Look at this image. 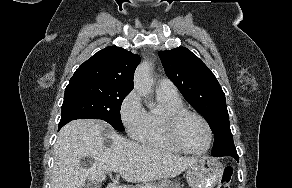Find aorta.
Returning a JSON list of instances; mask_svg holds the SVG:
<instances>
[{"instance_id": "aorta-1", "label": "aorta", "mask_w": 292, "mask_h": 188, "mask_svg": "<svg viewBox=\"0 0 292 188\" xmlns=\"http://www.w3.org/2000/svg\"><path fill=\"white\" fill-rule=\"evenodd\" d=\"M151 65L149 62L141 63L134 75V86L137 91L143 96L149 94L152 90L153 80L150 75ZM153 107V105H150Z\"/></svg>"}]
</instances>
